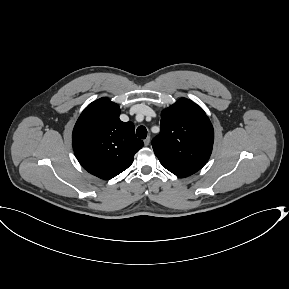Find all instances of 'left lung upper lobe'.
I'll list each match as a JSON object with an SVG mask.
<instances>
[{"instance_id":"left-lung-upper-lobe-1","label":"left lung upper lobe","mask_w":289,"mask_h":289,"mask_svg":"<svg viewBox=\"0 0 289 289\" xmlns=\"http://www.w3.org/2000/svg\"><path fill=\"white\" fill-rule=\"evenodd\" d=\"M213 141V126L205 112L182 98L162 111L161 132L152 140V147L163 167L183 178L206 164Z\"/></svg>"}]
</instances>
